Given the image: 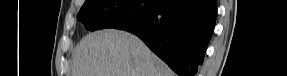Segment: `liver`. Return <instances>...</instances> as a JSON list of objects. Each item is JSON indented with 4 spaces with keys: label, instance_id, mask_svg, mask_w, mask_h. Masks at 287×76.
Segmentation results:
<instances>
[{
    "label": "liver",
    "instance_id": "6515ba94",
    "mask_svg": "<svg viewBox=\"0 0 287 76\" xmlns=\"http://www.w3.org/2000/svg\"><path fill=\"white\" fill-rule=\"evenodd\" d=\"M72 60L71 76H174L138 37L114 29L83 37Z\"/></svg>",
    "mask_w": 287,
    "mask_h": 76
}]
</instances>
